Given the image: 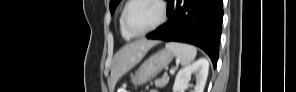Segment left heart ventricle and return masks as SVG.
Returning a JSON list of instances; mask_svg holds the SVG:
<instances>
[{
	"label": "left heart ventricle",
	"instance_id": "obj_1",
	"mask_svg": "<svg viewBox=\"0 0 296 92\" xmlns=\"http://www.w3.org/2000/svg\"><path fill=\"white\" fill-rule=\"evenodd\" d=\"M160 16L158 5L149 0L134 2L127 12V23L133 31H144L157 22Z\"/></svg>",
	"mask_w": 296,
	"mask_h": 92
}]
</instances>
